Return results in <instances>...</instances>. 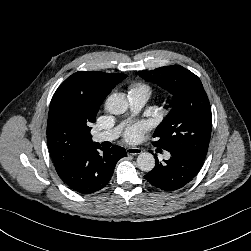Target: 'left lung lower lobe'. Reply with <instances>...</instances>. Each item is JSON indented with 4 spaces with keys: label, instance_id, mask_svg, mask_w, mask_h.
Segmentation results:
<instances>
[{
    "label": "left lung lower lobe",
    "instance_id": "0a47b994",
    "mask_svg": "<svg viewBox=\"0 0 251 251\" xmlns=\"http://www.w3.org/2000/svg\"><path fill=\"white\" fill-rule=\"evenodd\" d=\"M171 157L156 164L144 177L156 188L172 192L189 184L203 165V159L188 151H170Z\"/></svg>",
    "mask_w": 251,
    "mask_h": 251
}]
</instances>
